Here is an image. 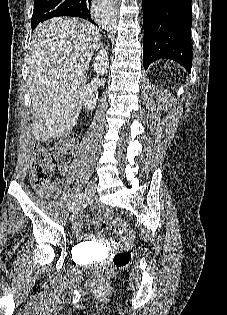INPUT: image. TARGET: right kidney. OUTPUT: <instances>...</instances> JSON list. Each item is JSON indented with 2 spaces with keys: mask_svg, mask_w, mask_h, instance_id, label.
<instances>
[{
  "mask_svg": "<svg viewBox=\"0 0 227 315\" xmlns=\"http://www.w3.org/2000/svg\"><path fill=\"white\" fill-rule=\"evenodd\" d=\"M95 63H94V70L96 73L100 75H104L108 72L109 68V62H108V53L106 50H101L97 53V56L95 57ZM83 105L87 110L92 111L97 103L98 95L94 94V91L89 87L86 86L83 95Z\"/></svg>",
  "mask_w": 227,
  "mask_h": 315,
  "instance_id": "1",
  "label": "right kidney"
}]
</instances>
